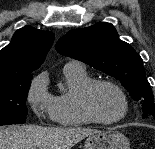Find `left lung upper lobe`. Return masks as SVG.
<instances>
[{"label": "left lung upper lobe", "instance_id": "obj_1", "mask_svg": "<svg viewBox=\"0 0 155 149\" xmlns=\"http://www.w3.org/2000/svg\"><path fill=\"white\" fill-rule=\"evenodd\" d=\"M56 49L60 54L119 79L141 105L143 118L155 119L154 96L146 79L143 60L132 46L119 39L112 24L100 22L71 30L58 40Z\"/></svg>", "mask_w": 155, "mask_h": 149}]
</instances>
